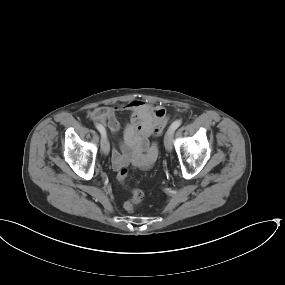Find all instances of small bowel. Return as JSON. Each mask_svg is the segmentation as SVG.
<instances>
[{
  "instance_id": "1",
  "label": "small bowel",
  "mask_w": 285,
  "mask_h": 285,
  "mask_svg": "<svg viewBox=\"0 0 285 285\" xmlns=\"http://www.w3.org/2000/svg\"><path fill=\"white\" fill-rule=\"evenodd\" d=\"M124 110L130 111L132 118L124 130V155L116 149L112 150L113 167L119 170L132 165L143 170L149 169L158 155V147L149 141V136L158 121L166 117V112L161 106L133 100L125 105L92 108L88 111V117L94 122L108 126L116 133L120 129L116 113Z\"/></svg>"
}]
</instances>
